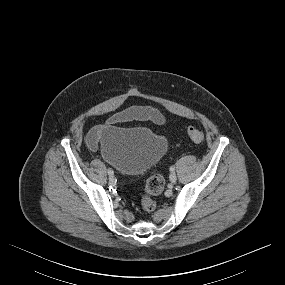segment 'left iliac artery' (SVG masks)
Listing matches in <instances>:
<instances>
[{
  "mask_svg": "<svg viewBox=\"0 0 285 285\" xmlns=\"http://www.w3.org/2000/svg\"><path fill=\"white\" fill-rule=\"evenodd\" d=\"M174 170H175V167H174V166H171V167H170V171L173 172Z\"/></svg>",
  "mask_w": 285,
  "mask_h": 285,
  "instance_id": "left-iliac-artery-1",
  "label": "left iliac artery"
}]
</instances>
